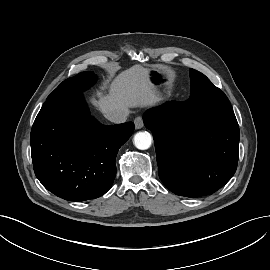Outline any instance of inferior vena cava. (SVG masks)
Masks as SVG:
<instances>
[{
	"instance_id": "1",
	"label": "inferior vena cava",
	"mask_w": 270,
	"mask_h": 270,
	"mask_svg": "<svg viewBox=\"0 0 270 270\" xmlns=\"http://www.w3.org/2000/svg\"><path fill=\"white\" fill-rule=\"evenodd\" d=\"M128 115L129 109L126 107H120L107 112L105 117L113 123L120 124L126 122Z\"/></svg>"
}]
</instances>
